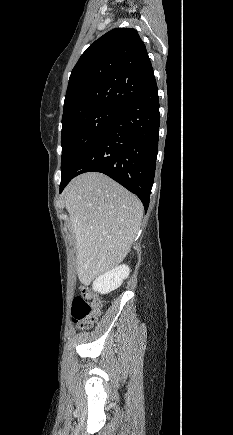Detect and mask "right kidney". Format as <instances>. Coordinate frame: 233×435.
<instances>
[{
	"label": "right kidney",
	"mask_w": 233,
	"mask_h": 435,
	"mask_svg": "<svg viewBox=\"0 0 233 435\" xmlns=\"http://www.w3.org/2000/svg\"><path fill=\"white\" fill-rule=\"evenodd\" d=\"M130 274V268L123 264L99 276L93 282V290L101 294H108L119 288Z\"/></svg>",
	"instance_id": "right-kidney-1"
}]
</instances>
